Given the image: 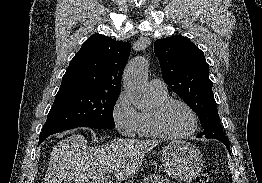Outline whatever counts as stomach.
Instances as JSON below:
<instances>
[{
    "mask_svg": "<svg viewBox=\"0 0 262 183\" xmlns=\"http://www.w3.org/2000/svg\"><path fill=\"white\" fill-rule=\"evenodd\" d=\"M162 164L173 179L187 182L201 171L203 157L200 150L190 142L173 140L163 149Z\"/></svg>",
    "mask_w": 262,
    "mask_h": 183,
    "instance_id": "0dacf381",
    "label": "stomach"
}]
</instances>
